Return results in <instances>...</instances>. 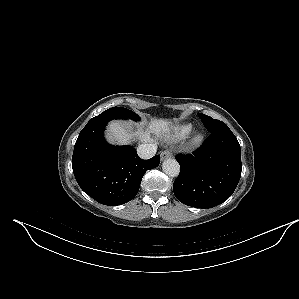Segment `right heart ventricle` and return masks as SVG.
I'll return each instance as SVG.
<instances>
[{
    "label": "right heart ventricle",
    "instance_id": "obj_1",
    "mask_svg": "<svg viewBox=\"0 0 299 299\" xmlns=\"http://www.w3.org/2000/svg\"><path fill=\"white\" fill-rule=\"evenodd\" d=\"M193 129V125L191 123L176 125L172 128L169 133V138L172 140H181L187 137Z\"/></svg>",
    "mask_w": 299,
    "mask_h": 299
}]
</instances>
